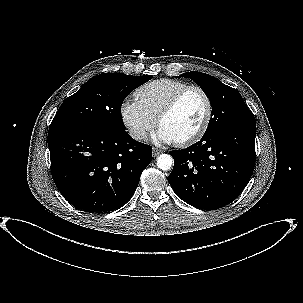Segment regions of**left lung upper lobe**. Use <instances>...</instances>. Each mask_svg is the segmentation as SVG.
I'll list each match as a JSON object with an SVG mask.
<instances>
[{
    "label": "left lung upper lobe",
    "instance_id": "obj_1",
    "mask_svg": "<svg viewBox=\"0 0 303 303\" xmlns=\"http://www.w3.org/2000/svg\"><path fill=\"white\" fill-rule=\"evenodd\" d=\"M180 77L191 78L201 87L210 100L212 117L204 135L225 127L255 122L253 113L236 89L202 72H186Z\"/></svg>",
    "mask_w": 303,
    "mask_h": 303
}]
</instances>
